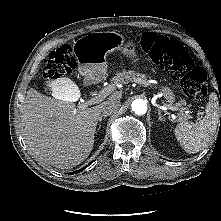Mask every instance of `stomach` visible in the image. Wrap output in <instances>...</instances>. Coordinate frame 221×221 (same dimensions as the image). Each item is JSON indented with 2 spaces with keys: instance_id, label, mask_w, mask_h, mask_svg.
<instances>
[{
  "instance_id": "obj_1",
  "label": "stomach",
  "mask_w": 221,
  "mask_h": 221,
  "mask_svg": "<svg viewBox=\"0 0 221 221\" xmlns=\"http://www.w3.org/2000/svg\"><path fill=\"white\" fill-rule=\"evenodd\" d=\"M124 38L117 32H95L81 38L78 44H81L79 52L77 53L78 70L85 76L86 80L91 82L101 81L107 72L106 57L109 52L114 50H122L127 54L133 63H138L139 59L133 58L135 54L134 45L132 49L122 47ZM128 47H130L128 45ZM164 92L166 101L174 102V97L167 88L161 89Z\"/></svg>"
}]
</instances>
